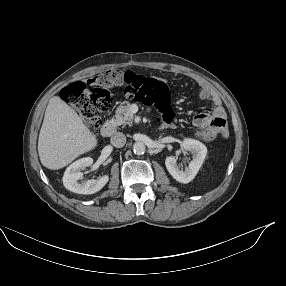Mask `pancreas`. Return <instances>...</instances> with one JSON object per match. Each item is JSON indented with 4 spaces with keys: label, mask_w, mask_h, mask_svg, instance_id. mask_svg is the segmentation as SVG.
I'll return each mask as SVG.
<instances>
[{
    "label": "pancreas",
    "mask_w": 286,
    "mask_h": 286,
    "mask_svg": "<svg viewBox=\"0 0 286 286\" xmlns=\"http://www.w3.org/2000/svg\"><path fill=\"white\" fill-rule=\"evenodd\" d=\"M134 118L133 113L130 111V104L125 102L116 109L115 123L117 125H125L132 123Z\"/></svg>",
    "instance_id": "1"
}]
</instances>
